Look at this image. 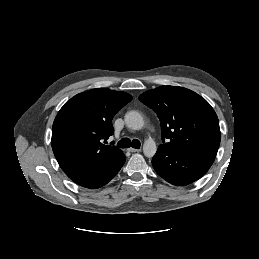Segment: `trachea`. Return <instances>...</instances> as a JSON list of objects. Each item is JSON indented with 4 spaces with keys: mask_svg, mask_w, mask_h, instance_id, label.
I'll return each mask as SVG.
<instances>
[{
    "mask_svg": "<svg viewBox=\"0 0 259 259\" xmlns=\"http://www.w3.org/2000/svg\"><path fill=\"white\" fill-rule=\"evenodd\" d=\"M117 146L119 148H129L130 146L132 148L139 149L141 146V143L137 139H133L132 141L129 138H122L118 143Z\"/></svg>",
    "mask_w": 259,
    "mask_h": 259,
    "instance_id": "trachea-1",
    "label": "trachea"
}]
</instances>
